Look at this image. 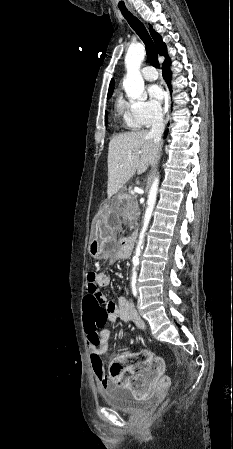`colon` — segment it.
<instances>
[{
	"label": "colon",
	"instance_id": "obj_1",
	"mask_svg": "<svg viewBox=\"0 0 233 449\" xmlns=\"http://www.w3.org/2000/svg\"><path fill=\"white\" fill-rule=\"evenodd\" d=\"M95 296L90 295V291L84 293V297L81 298L80 309L82 310L81 316L85 328H106V317L108 313L107 308H103L100 302L94 300ZM123 385H127V380H124Z\"/></svg>",
	"mask_w": 233,
	"mask_h": 449
}]
</instances>
